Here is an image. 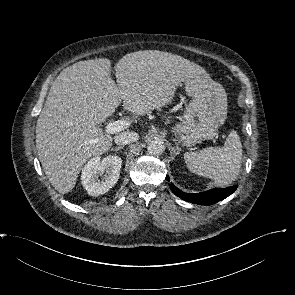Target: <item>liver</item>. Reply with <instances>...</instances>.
<instances>
[{
    "label": "liver",
    "mask_w": 295,
    "mask_h": 295,
    "mask_svg": "<svg viewBox=\"0 0 295 295\" xmlns=\"http://www.w3.org/2000/svg\"><path fill=\"white\" fill-rule=\"evenodd\" d=\"M107 58L79 61L53 82L36 125V147L46 176L61 194L70 192L83 165L106 153L113 138L97 125L123 107L137 115L172 102L176 88L201 66L158 50L128 53L115 66ZM131 123L129 120H124Z\"/></svg>",
    "instance_id": "1"
}]
</instances>
